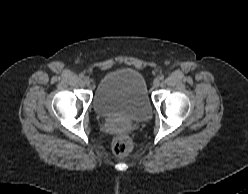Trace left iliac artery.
Returning a JSON list of instances; mask_svg holds the SVG:
<instances>
[{
  "mask_svg": "<svg viewBox=\"0 0 248 194\" xmlns=\"http://www.w3.org/2000/svg\"><path fill=\"white\" fill-rule=\"evenodd\" d=\"M159 79H160V80H163V79H164V75H161V76L159 77Z\"/></svg>",
  "mask_w": 248,
  "mask_h": 194,
  "instance_id": "1",
  "label": "left iliac artery"
}]
</instances>
